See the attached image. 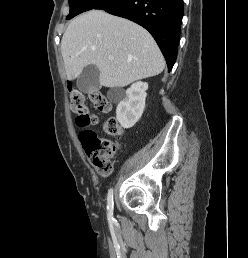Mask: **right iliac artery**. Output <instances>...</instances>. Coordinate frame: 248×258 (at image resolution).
I'll use <instances>...</instances> for the list:
<instances>
[{"instance_id":"82829eb1","label":"right iliac artery","mask_w":248,"mask_h":258,"mask_svg":"<svg viewBox=\"0 0 248 258\" xmlns=\"http://www.w3.org/2000/svg\"><path fill=\"white\" fill-rule=\"evenodd\" d=\"M113 189H110L108 191V195H107V217L108 219H112L113 218Z\"/></svg>"}]
</instances>
